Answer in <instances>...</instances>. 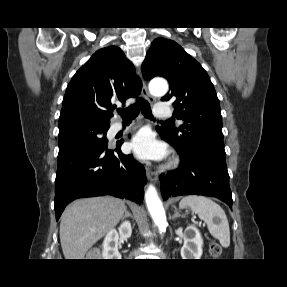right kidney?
Wrapping results in <instances>:
<instances>
[{
	"mask_svg": "<svg viewBox=\"0 0 287 287\" xmlns=\"http://www.w3.org/2000/svg\"><path fill=\"white\" fill-rule=\"evenodd\" d=\"M132 234V228L129 221L123 222L118 231L115 229L110 230L103 242L102 256L104 259H121V254L118 251L119 236L129 238Z\"/></svg>",
	"mask_w": 287,
	"mask_h": 287,
	"instance_id": "obj_1",
	"label": "right kidney"
}]
</instances>
